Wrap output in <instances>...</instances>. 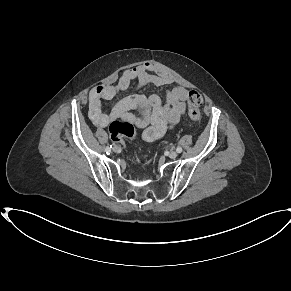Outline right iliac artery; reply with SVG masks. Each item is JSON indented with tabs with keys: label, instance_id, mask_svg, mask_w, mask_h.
Wrapping results in <instances>:
<instances>
[{
	"label": "right iliac artery",
	"instance_id": "1",
	"mask_svg": "<svg viewBox=\"0 0 291 291\" xmlns=\"http://www.w3.org/2000/svg\"><path fill=\"white\" fill-rule=\"evenodd\" d=\"M111 148H112V145H110V147H109V146H107V147H106V149H105V150H106V152H107V153H108V152H110V151H111Z\"/></svg>",
	"mask_w": 291,
	"mask_h": 291
}]
</instances>
